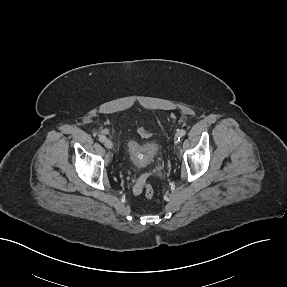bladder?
I'll return each mask as SVG.
<instances>
[{
  "label": "bladder",
  "instance_id": "31cf9c89",
  "mask_svg": "<svg viewBox=\"0 0 287 287\" xmlns=\"http://www.w3.org/2000/svg\"><path fill=\"white\" fill-rule=\"evenodd\" d=\"M158 145L156 143L138 144L130 141L127 145V158L129 163L135 168H148L156 160Z\"/></svg>",
  "mask_w": 287,
  "mask_h": 287
}]
</instances>
